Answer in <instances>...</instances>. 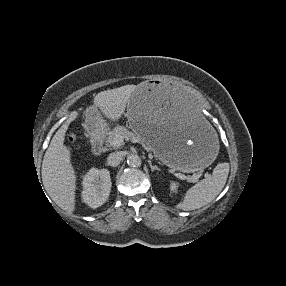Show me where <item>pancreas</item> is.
Here are the masks:
<instances>
[{"label": "pancreas", "instance_id": "cf45deb5", "mask_svg": "<svg viewBox=\"0 0 286 286\" xmlns=\"http://www.w3.org/2000/svg\"><path fill=\"white\" fill-rule=\"evenodd\" d=\"M116 135H121L126 140L141 143L147 150H150V146L140 135H137L122 126H117L112 131L107 133V136L104 137L107 146L116 148V146L113 145V139Z\"/></svg>", "mask_w": 286, "mask_h": 286}]
</instances>
